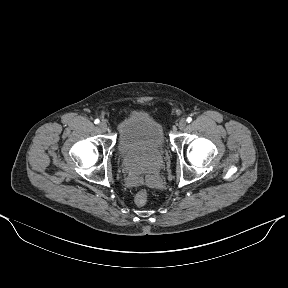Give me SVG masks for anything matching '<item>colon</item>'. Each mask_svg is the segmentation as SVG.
I'll use <instances>...</instances> for the list:
<instances>
[{
	"label": "colon",
	"instance_id": "1",
	"mask_svg": "<svg viewBox=\"0 0 288 288\" xmlns=\"http://www.w3.org/2000/svg\"><path fill=\"white\" fill-rule=\"evenodd\" d=\"M148 192L146 190H140L136 195H135V203L138 206H144L148 202Z\"/></svg>",
	"mask_w": 288,
	"mask_h": 288
}]
</instances>
